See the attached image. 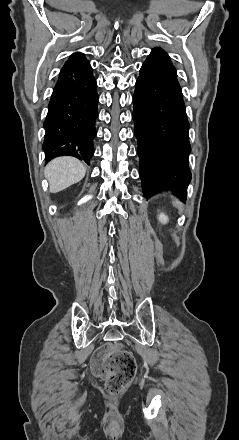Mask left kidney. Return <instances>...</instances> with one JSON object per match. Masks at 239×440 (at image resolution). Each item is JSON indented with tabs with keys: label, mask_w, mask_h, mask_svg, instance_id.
Segmentation results:
<instances>
[{
	"label": "left kidney",
	"mask_w": 239,
	"mask_h": 440,
	"mask_svg": "<svg viewBox=\"0 0 239 440\" xmlns=\"http://www.w3.org/2000/svg\"><path fill=\"white\" fill-rule=\"evenodd\" d=\"M159 220H160L161 224H167V222H168V218H167V216H164V214H160Z\"/></svg>",
	"instance_id": "obj_1"
}]
</instances>
